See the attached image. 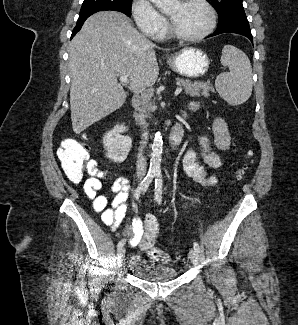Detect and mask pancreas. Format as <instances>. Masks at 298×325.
I'll list each match as a JSON object with an SVG mask.
<instances>
[{"mask_svg":"<svg viewBox=\"0 0 298 325\" xmlns=\"http://www.w3.org/2000/svg\"><path fill=\"white\" fill-rule=\"evenodd\" d=\"M176 82H180V86H184L185 94L190 96H210L215 88L211 86L210 82H202V80H190V78H175ZM157 106L154 102H147L144 106L139 108L136 112L135 118L138 124H145V118L150 116V112L156 110Z\"/></svg>","mask_w":298,"mask_h":325,"instance_id":"pancreas-1","label":"pancreas"}]
</instances>
